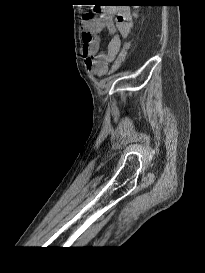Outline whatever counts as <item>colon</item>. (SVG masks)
I'll return each mask as SVG.
<instances>
[{
	"label": "colon",
	"mask_w": 205,
	"mask_h": 273,
	"mask_svg": "<svg viewBox=\"0 0 205 273\" xmlns=\"http://www.w3.org/2000/svg\"><path fill=\"white\" fill-rule=\"evenodd\" d=\"M130 47V41H128L122 52L119 54L118 58L115 60L113 66H112V69H111V73H115L118 68L120 67L121 63L123 62V60L125 59L126 55H127V52H128V49Z\"/></svg>",
	"instance_id": "colon-1"
}]
</instances>
